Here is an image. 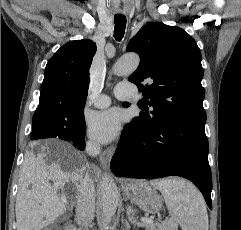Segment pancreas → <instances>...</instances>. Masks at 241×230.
<instances>
[{
    "instance_id": "cf45deb5",
    "label": "pancreas",
    "mask_w": 241,
    "mask_h": 230,
    "mask_svg": "<svg viewBox=\"0 0 241 230\" xmlns=\"http://www.w3.org/2000/svg\"><path fill=\"white\" fill-rule=\"evenodd\" d=\"M145 227H146V230H176L177 223L175 220L170 219L168 221H164L159 224H153V225L147 224Z\"/></svg>"
}]
</instances>
